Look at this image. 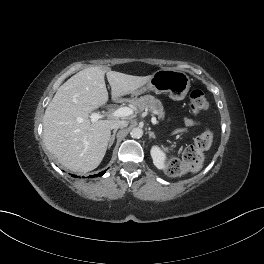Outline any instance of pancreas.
I'll use <instances>...</instances> for the list:
<instances>
[{"label": "pancreas", "instance_id": "obj_1", "mask_svg": "<svg viewBox=\"0 0 264 264\" xmlns=\"http://www.w3.org/2000/svg\"><path fill=\"white\" fill-rule=\"evenodd\" d=\"M130 105L139 111L148 110L154 112L159 119H164L165 111L160 100L152 95H145L140 98H133L129 100Z\"/></svg>", "mask_w": 264, "mask_h": 264}]
</instances>
